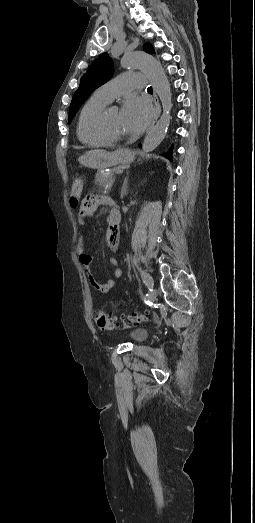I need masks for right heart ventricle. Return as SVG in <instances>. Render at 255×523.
<instances>
[{
  "label": "right heart ventricle",
  "mask_w": 255,
  "mask_h": 523,
  "mask_svg": "<svg viewBox=\"0 0 255 523\" xmlns=\"http://www.w3.org/2000/svg\"><path fill=\"white\" fill-rule=\"evenodd\" d=\"M111 99L95 90L81 107L77 121V136L79 140L90 146L106 145L109 141L93 135L88 128V120L98 109L111 103Z\"/></svg>",
  "instance_id": "e07e8e85"
}]
</instances>
